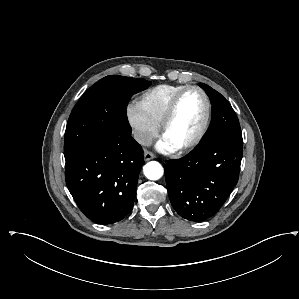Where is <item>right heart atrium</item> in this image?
<instances>
[{
    "label": "right heart atrium",
    "mask_w": 299,
    "mask_h": 299,
    "mask_svg": "<svg viewBox=\"0 0 299 299\" xmlns=\"http://www.w3.org/2000/svg\"><path fill=\"white\" fill-rule=\"evenodd\" d=\"M127 119L133 137L140 145H148L158 133V126L144 114L137 103L128 106Z\"/></svg>",
    "instance_id": "d8ad5b80"
}]
</instances>
